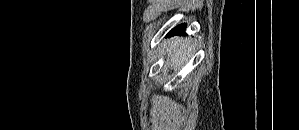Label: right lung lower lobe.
I'll return each mask as SVG.
<instances>
[{"mask_svg": "<svg viewBox=\"0 0 299 130\" xmlns=\"http://www.w3.org/2000/svg\"><path fill=\"white\" fill-rule=\"evenodd\" d=\"M185 28H186V24H181V25L175 27L174 29H172L169 32V34L167 35V37L173 36V35H182L185 32Z\"/></svg>", "mask_w": 299, "mask_h": 130, "instance_id": "obj_1", "label": "right lung lower lobe"}]
</instances>
